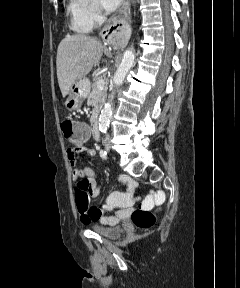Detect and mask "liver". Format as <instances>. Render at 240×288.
<instances>
[{
  "label": "liver",
  "mask_w": 240,
  "mask_h": 288,
  "mask_svg": "<svg viewBox=\"0 0 240 288\" xmlns=\"http://www.w3.org/2000/svg\"><path fill=\"white\" fill-rule=\"evenodd\" d=\"M103 44L87 35H67L57 50V78L62 96L69 94L72 85L84 78L98 65L103 52Z\"/></svg>",
  "instance_id": "liver-1"
}]
</instances>
